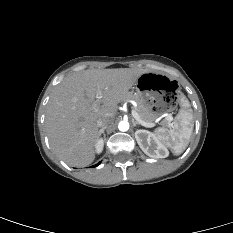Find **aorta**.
Masks as SVG:
<instances>
[{
    "mask_svg": "<svg viewBox=\"0 0 233 233\" xmlns=\"http://www.w3.org/2000/svg\"><path fill=\"white\" fill-rule=\"evenodd\" d=\"M118 129L122 132L128 131L129 129V122L126 120H122L118 124Z\"/></svg>",
    "mask_w": 233,
    "mask_h": 233,
    "instance_id": "aorta-1",
    "label": "aorta"
}]
</instances>
